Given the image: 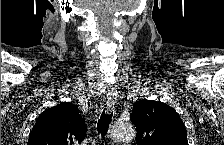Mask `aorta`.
Masks as SVG:
<instances>
[{
	"instance_id": "aorta-1",
	"label": "aorta",
	"mask_w": 224,
	"mask_h": 145,
	"mask_svg": "<svg viewBox=\"0 0 224 145\" xmlns=\"http://www.w3.org/2000/svg\"><path fill=\"white\" fill-rule=\"evenodd\" d=\"M136 135V131L131 123H116L111 131L110 138L116 142L131 141Z\"/></svg>"
}]
</instances>
